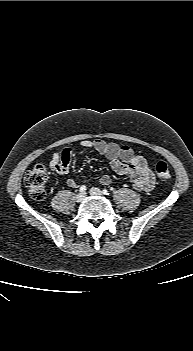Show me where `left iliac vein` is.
<instances>
[{
  "label": "left iliac vein",
  "instance_id": "1",
  "mask_svg": "<svg viewBox=\"0 0 193 351\" xmlns=\"http://www.w3.org/2000/svg\"><path fill=\"white\" fill-rule=\"evenodd\" d=\"M89 193L91 195H94V196H101L102 195V191L100 189H98V188H91L89 190Z\"/></svg>",
  "mask_w": 193,
  "mask_h": 351
}]
</instances>
